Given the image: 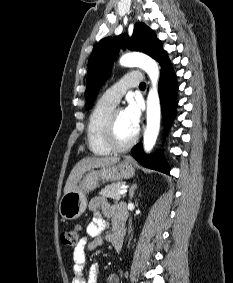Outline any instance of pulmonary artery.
I'll return each instance as SVG.
<instances>
[{"label": "pulmonary artery", "mask_w": 233, "mask_h": 283, "mask_svg": "<svg viewBox=\"0 0 233 283\" xmlns=\"http://www.w3.org/2000/svg\"><path fill=\"white\" fill-rule=\"evenodd\" d=\"M141 78L139 72L133 71L127 73L119 82L107 89L101 99L107 103L116 105L129 88L139 86Z\"/></svg>", "instance_id": "1"}]
</instances>
